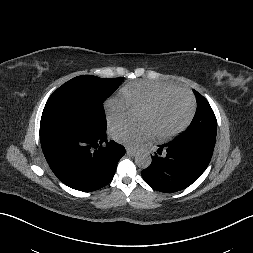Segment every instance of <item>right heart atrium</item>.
<instances>
[{"label": "right heart atrium", "instance_id": "d8ad5b80", "mask_svg": "<svg viewBox=\"0 0 253 253\" xmlns=\"http://www.w3.org/2000/svg\"><path fill=\"white\" fill-rule=\"evenodd\" d=\"M129 109L130 105L122 95L108 98L104 103L108 125L122 124L127 117Z\"/></svg>", "mask_w": 253, "mask_h": 253}]
</instances>
